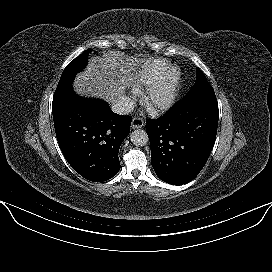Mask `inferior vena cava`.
<instances>
[{
  "label": "inferior vena cava",
  "instance_id": "obj_1",
  "mask_svg": "<svg viewBox=\"0 0 272 272\" xmlns=\"http://www.w3.org/2000/svg\"><path fill=\"white\" fill-rule=\"evenodd\" d=\"M134 106L135 102L131 98L123 96L112 103L111 109L117 114L126 115L134 109Z\"/></svg>",
  "mask_w": 272,
  "mask_h": 272
}]
</instances>
